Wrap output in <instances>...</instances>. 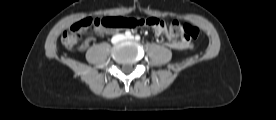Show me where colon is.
<instances>
[{
    "label": "colon",
    "instance_id": "1",
    "mask_svg": "<svg viewBox=\"0 0 276 120\" xmlns=\"http://www.w3.org/2000/svg\"><path fill=\"white\" fill-rule=\"evenodd\" d=\"M162 20L150 18H133V17H104V18H85L73 24L61 37L63 45L72 49L80 35L89 28H105V29H119V28H135L139 26L155 27L159 25ZM169 31L172 36L181 37L185 41H191L198 37V29L190 24H182L180 22H172Z\"/></svg>",
    "mask_w": 276,
    "mask_h": 120
}]
</instances>
